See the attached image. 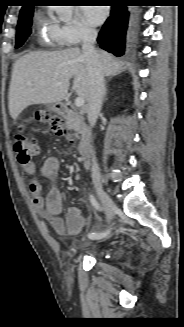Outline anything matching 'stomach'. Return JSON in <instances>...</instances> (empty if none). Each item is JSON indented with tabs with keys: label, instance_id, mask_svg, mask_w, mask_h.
Here are the masks:
<instances>
[{
	"label": "stomach",
	"instance_id": "obj_1",
	"mask_svg": "<svg viewBox=\"0 0 184 327\" xmlns=\"http://www.w3.org/2000/svg\"><path fill=\"white\" fill-rule=\"evenodd\" d=\"M49 109H50L51 111H54V112H58V111H59V109H58V107H57L56 104H52V105H50V106H49Z\"/></svg>",
	"mask_w": 184,
	"mask_h": 327
}]
</instances>
